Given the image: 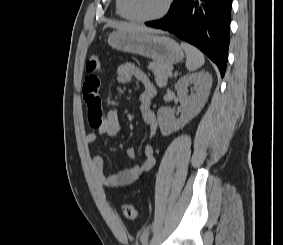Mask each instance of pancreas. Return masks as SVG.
I'll return each mask as SVG.
<instances>
[{
  "label": "pancreas",
  "mask_w": 283,
  "mask_h": 245,
  "mask_svg": "<svg viewBox=\"0 0 283 245\" xmlns=\"http://www.w3.org/2000/svg\"><path fill=\"white\" fill-rule=\"evenodd\" d=\"M148 68L154 73L157 86L160 88L165 87L172 66L161 62H150Z\"/></svg>",
  "instance_id": "obj_1"
}]
</instances>
